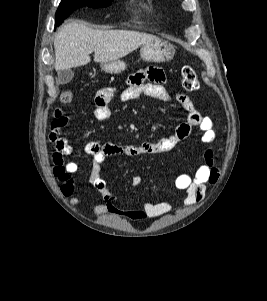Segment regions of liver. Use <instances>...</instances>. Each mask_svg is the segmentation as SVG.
<instances>
[{"label": "liver", "mask_w": 267, "mask_h": 301, "mask_svg": "<svg viewBox=\"0 0 267 301\" xmlns=\"http://www.w3.org/2000/svg\"><path fill=\"white\" fill-rule=\"evenodd\" d=\"M158 39L152 34L128 30H93L79 21H71L55 34V69L67 70L94 61H116L139 46Z\"/></svg>", "instance_id": "liver-1"}]
</instances>
